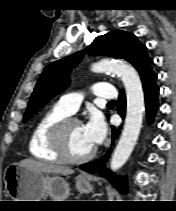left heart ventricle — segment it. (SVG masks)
Returning <instances> with one entry per match:
<instances>
[{
  "label": "left heart ventricle",
  "instance_id": "left-heart-ventricle-1",
  "mask_svg": "<svg viewBox=\"0 0 176 211\" xmlns=\"http://www.w3.org/2000/svg\"><path fill=\"white\" fill-rule=\"evenodd\" d=\"M66 143L73 156H82L93 148L84 134L83 125L78 123H73L67 128Z\"/></svg>",
  "mask_w": 176,
  "mask_h": 211
}]
</instances>
